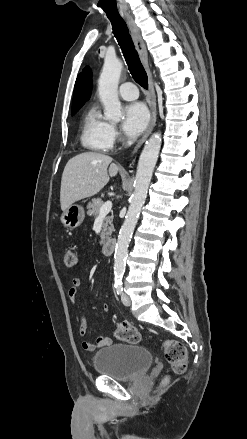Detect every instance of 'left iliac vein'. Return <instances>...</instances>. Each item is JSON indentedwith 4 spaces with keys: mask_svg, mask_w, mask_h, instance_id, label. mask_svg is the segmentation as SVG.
<instances>
[{
    "mask_svg": "<svg viewBox=\"0 0 247 439\" xmlns=\"http://www.w3.org/2000/svg\"><path fill=\"white\" fill-rule=\"evenodd\" d=\"M121 301L125 306L131 305V300H130L129 296L124 294V293L121 295Z\"/></svg>",
    "mask_w": 247,
    "mask_h": 439,
    "instance_id": "obj_1",
    "label": "left iliac vein"
}]
</instances>
